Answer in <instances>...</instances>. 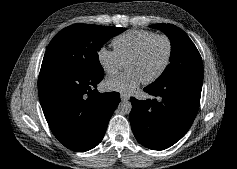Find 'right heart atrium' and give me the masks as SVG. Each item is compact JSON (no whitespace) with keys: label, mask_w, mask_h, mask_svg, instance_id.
I'll list each match as a JSON object with an SVG mask.
<instances>
[{"label":"right heart atrium","mask_w":237,"mask_h":169,"mask_svg":"<svg viewBox=\"0 0 237 169\" xmlns=\"http://www.w3.org/2000/svg\"><path fill=\"white\" fill-rule=\"evenodd\" d=\"M97 60L103 70L108 74H114L121 70L124 66V62L121 60L116 51L105 46L98 49Z\"/></svg>","instance_id":"obj_1"}]
</instances>
